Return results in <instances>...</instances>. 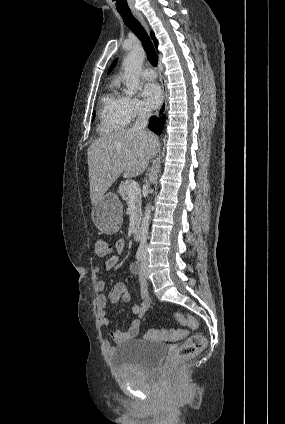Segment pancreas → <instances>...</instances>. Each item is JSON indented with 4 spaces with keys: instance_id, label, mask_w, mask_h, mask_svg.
Listing matches in <instances>:
<instances>
[{
    "instance_id": "1",
    "label": "pancreas",
    "mask_w": 285,
    "mask_h": 424,
    "mask_svg": "<svg viewBox=\"0 0 285 424\" xmlns=\"http://www.w3.org/2000/svg\"><path fill=\"white\" fill-rule=\"evenodd\" d=\"M129 183H130V181H123L119 186L118 193L121 196V198L127 203H129L130 200H131V197H133V200H134V203H135V212H136V215L139 216L140 213H141L142 196H141L140 191H138L133 196H130L128 194Z\"/></svg>"
}]
</instances>
